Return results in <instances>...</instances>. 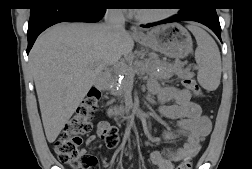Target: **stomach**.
<instances>
[{"label":"stomach","instance_id":"0dacf381","mask_svg":"<svg viewBox=\"0 0 252 169\" xmlns=\"http://www.w3.org/2000/svg\"><path fill=\"white\" fill-rule=\"evenodd\" d=\"M135 39L143 46L170 58H184L193 48L191 35L177 23L161 25Z\"/></svg>","mask_w":252,"mask_h":169}]
</instances>
